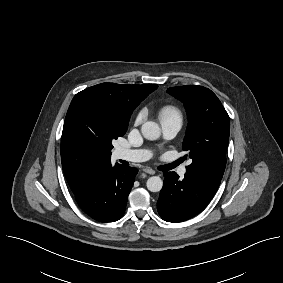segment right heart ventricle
Returning a JSON list of instances; mask_svg holds the SVG:
<instances>
[{
    "mask_svg": "<svg viewBox=\"0 0 283 283\" xmlns=\"http://www.w3.org/2000/svg\"><path fill=\"white\" fill-rule=\"evenodd\" d=\"M159 119L162 122L164 121H177L181 122L182 114L179 108L174 105H165L159 110Z\"/></svg>",
    "mask_w": 283,
    "mask_h": 283,
    "instance_id": "right-heart-ventricle-1",
    "label": "right heart ventricle"
}]
</instances>
